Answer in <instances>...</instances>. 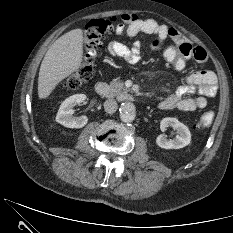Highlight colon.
<instances>
[{"mask_svg":"<svg viewBox=\"0 0 233 233\" xmlns=\"http://www.w3.org/2000/svg\"><path fill=\"white\" fill-rule=\"evenodd\" d=\"M113 30V23L108 19L91 20L84 31L83 38V61L79 69L67 78L65 87L68 89H78L88 82L93 75V64L100 55L101 42L103 37ZM164 45V40L155 38L152 46L156 49ZM165 57L167 61L176 69L181 70L185 66V59L173 47L166 50ZM214 119L212 110L204 112L197 120L195 127L205 129L209 127Z\"/></svg>","mask_w":233,"mask_h":233,"instance_id":"1","label":"colon"}]
</instances>
